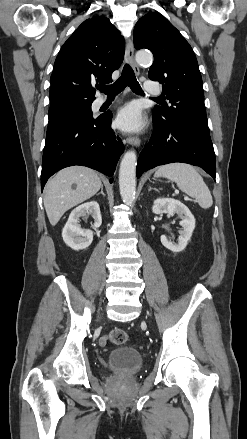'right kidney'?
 <instances>
[{"instance_id":"ca27d5eb","label":"right kidney","mask_w":247,"mask_h":439,"mask_svg":"<svg viewBox=\"0 0 247 439\" xmlns=\"http://www.w3.org/2000/svg\"><path fill=\"white\" fill-rule=\"evenodd\" d=\"M86 214L91 215L94 219L93 229H97L102 224L100 207L96 201H90L76 207L62 230L65 244L73 250L86 249L93 241V231L82 229L79 224V218Z\"/></svg>"}]
</instances>
